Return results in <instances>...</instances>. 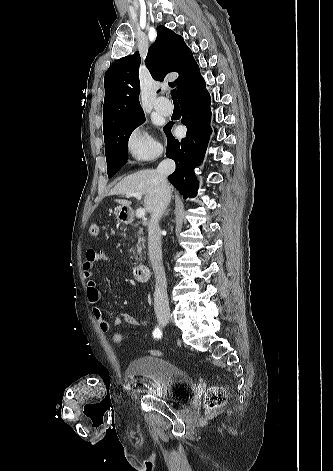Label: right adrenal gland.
<instances>
[{
    "mask_svg": "<svg viewBox=\"0 0 333 471\" xmlns=\"http://www.w3.org/2000/svg\"><path fill=\"white\" fill-rule=\"evenodd\" d=\"M169 211H170V210H167V211H166V213H165L166 216L168 215Z\"/></svg>",
    "mask_w": 333,
    "mask_h": 471,
    "instance_id": "2a0ac1e0",
    "label": "right adrenal gland"
}]
</instances>
